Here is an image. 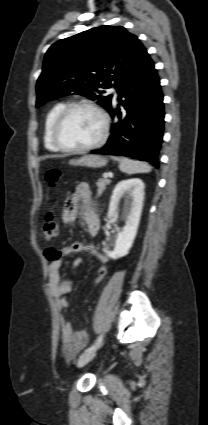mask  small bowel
Instances as JSON below:
<instances>
[{
  "mask_svg": "<svg viewBox=\"0 0 208 425\" xmlns=\"http://www.w3.org/2000/svg\"><path fill=\"white\" fill-rule=\"evenodd\" d=\"M77 217L81 220L84 230L92 237L96 236L99 230V218L95 211L92 200V193L87 183H79L75 191L67 198L62 215L64 223H72ZM61 258L51 260L48 267L49 290L54 297L59 313L61 324V340L63 353L67 357H72L88 341L86 330L73 331L70 322L66 319L68 303L65 296L71 290V281L62 278L61 266L63 258L69 254L87 253L96 256L103 264L107 262V257L98 252L93 244H84L75 241L70 246L59 250ZM82 262L81 257H77L71 264V270L77 268ZM104 267V266H103Z\"/></svg>",
  "mask_w": 208,
  "mask_h": 425,
  "instance_id": "obj_1",
  "label": "small bowel"
}]
</instances>
